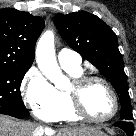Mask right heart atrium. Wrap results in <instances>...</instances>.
Listing matches in <instances>:
<instances>
[{
  "instance_id": "1",
  "label": "right heart atrium",
  "mask_w": 136,
  "mask_h": 136,
  "mask_svg": "<svg viewBox=\"0 0 136 136\" xmlns=\"http://www.w3.org/2000/svg\"><path fill=\"white\" fill-rule=\"evenodd\" d=\"M21 91L25 105L39 119L49 121L59 107V98L53 85L36 69L25 74Z\"/></svg>"
}]
</instances>
